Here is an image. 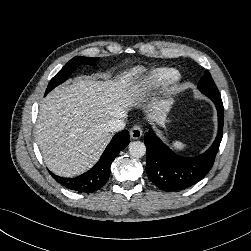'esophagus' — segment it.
<instances>
[{"instance_id":"1","label":"esophagus","mask_w":251,"mask_h":251,"mask_svg":"<svg viewBox=\"0 0 251 251\" xmlns=\"http://www.w3.org/2000/svg\"><path fill=\"white\" fill-rule=\"evenodd\" d=\"M143 132L139 125H135L130 130V137L134 140L141 138Z\"/></svg>"}]
</instances>
